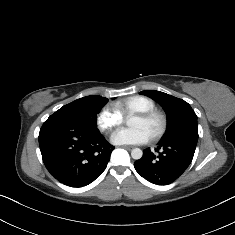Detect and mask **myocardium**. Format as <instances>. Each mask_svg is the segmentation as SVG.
Here are the masks:
<instances>
[{
    "mask_svg": "<svg viewBox=\"0 0 235 235\" xmlns=\"http://www.w3.org/2000/svg\"><path fill=\"white\" fill-rule=\"evenodd\" d=\"M136 116L146 122H150L153 119L160 121V128L150 136L151 141L159 140L167 132L169 122L167 115L163 111L154 108L147 112L137 113Z\"/></svg>",
    "mask_w": 235,
    "mask_h": 235,
    "instance_id": "myocardium-1",
    "label": "myocardium"
}]
</instances>
